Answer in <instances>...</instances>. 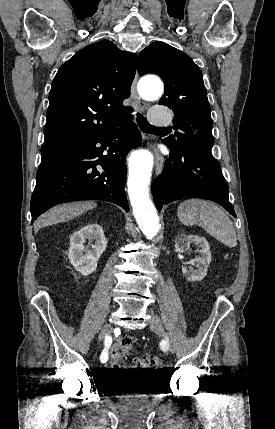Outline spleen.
<instances>
[{
	"label": "spleen",
	"instance_id": "obj_1",
	"mask_svg": "<svg viewBox=\"0 0 275 429\" xmlns=\"http://www.w3.org/2000/svg\"><path fill=\"white\" fill-rule=\"evenodd\" d=\"M177 212L184 225H198L228 247L237 245L231 220L216 204L201 199H188L178 206Z\"/></svg>",
	"mask_w": 275,
	"mask_h": 429
}]
</instances>
